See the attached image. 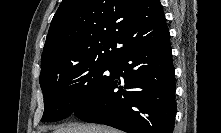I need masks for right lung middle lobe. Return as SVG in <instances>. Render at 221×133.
Returning a JSON list of instances; mask_svg holds the SVG:
<instances>
[{
    "label": "right lung middle lobe",
    "mask_w": 221,
    "mask_h": 133,
    "mask_svg": "<svg viewBox=\"0 0 221 133\" xmlns=\"http://www.w3.org/2000/svg\"><path fill=\"white\" fill-rule=\"evenodd\" d=\"M114 62L54 66L40 76L44 94L42 121L64 119L89 101L109 78Z\"/></svg>",
    "instance_id": "obj_1"
}]
</instances>
